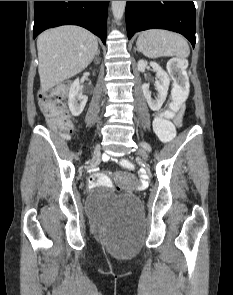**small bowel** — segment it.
I'll list each match as a JSON object with an SVG mask.
<instances>
[{"mask_svg": "<svg viewBox=\"0 0 233 295\" xmlns=\"http://www.w3.org/2000/svg\"><path fill=\"white\" fill-rule=\"evenodd\" d=\"M174 122L178 126L181 125V123H182V113L181 112L176 115V117L174 118Z\"/></svg>", "mask_w": 233, "mask_h": 295, "instance_id": "c3829d8e", "label": "small bowel"}]
</instances>
